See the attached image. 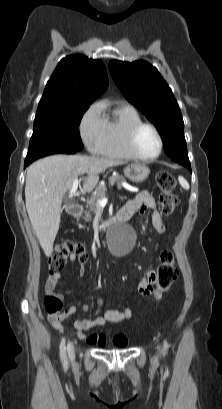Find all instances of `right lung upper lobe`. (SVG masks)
I'll use <instances>...</instances> for the list:
<instances>
[{"label":"right lung upper lobe","mask_w":222,"mask_h":409,"mask_svg":"<svg viewBox=\"0 0 222 409\" xmlns=\"http://www.w3.org/2000/svg\"><path fill=\"white\" fill-rule=\"evenodd\" d=\"M108 87V77L100 60L76 54L63 58L47 82L38 109L70 105H90Z\"/></svg>","instance_id":"right-lung-upper-lobe-1"}]
</instances>
